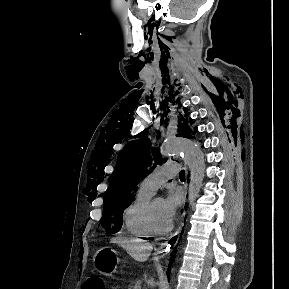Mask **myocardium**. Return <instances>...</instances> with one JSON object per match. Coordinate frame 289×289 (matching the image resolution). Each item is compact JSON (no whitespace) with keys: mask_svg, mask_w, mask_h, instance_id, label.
I'll return each instance as SVG.
<instances>
[{"mask_svg":"<svg viewBox=\"0 0 289 289\" xmlns=\"http://www.w3.org/2000/svg\"><path fill=\"white\" fill-rule=\"evenodd\" d=\"M158 197H151L146 207V219L148 225L154 234H166L171 231L173 224L170 222L167 226H159L155 220L153 213V203Z\"/></svg>","mask_w":289,"mask_h":289,"instance_id":"1","label":"myocardium"}]
</instances>
